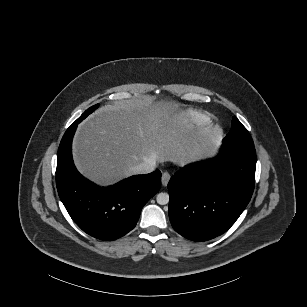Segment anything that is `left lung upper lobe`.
<instances>
[{
    "instance_id": "obj_1",
    "label": "left lung upper lobe",
    "mask_w": 307,
    "mask_h": 307,
    "mask_svg": "<svg viewBox=\"0 0 307 307\" xmlns=\"http://www.w3.org/2000/svg\"><path fill=\"white\" fill-rule=\"evenodd\" d=\"M223 142H233L240 144H254L253 140L248 133L247 129L241 124V122L233 117L231 130L228 135L224 138Z\"/></svg>"
}]
</instances>
